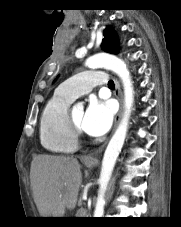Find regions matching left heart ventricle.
Instances as JSON below:
<instances>
[{"label": "left heart ventricle", "mask_w": 181, "mask_h": 227, "mask_svg": "<svg viewBox=\"0 0 181 227\" xmlns=\"http://www.w3.org/2000/svg\"><path fill=\"white\" fill-rule=\"evenodd\" d=\"M72 118L74 120V122L81 127L82 125V120H83V116H84V112L83 110L77 109V110H73L71 112Z\"/></svg>", "instance_id": "obj_1"}]
</instances>
